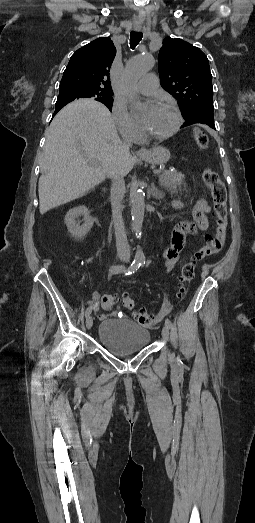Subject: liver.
<instances>
[{"mask_svg": "<svg viewBox=\"0 0 255 523\" xmlns=\"http://www.w3.org/2000/svg\"><path fill=\"white\" fill-rule=\"evenodd\" d=\"M45 136L38 186L40 214L81 198L117 168L129 174L135 164L131 156L122 160L124 144L112 116L93 98L74 100L62 108Z\"/></svg>", "mask_w": 255, "mask_h": 523, "instance_id": "liver-1", "label": "liver"}]
</instances>
